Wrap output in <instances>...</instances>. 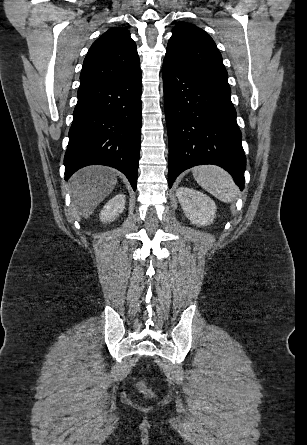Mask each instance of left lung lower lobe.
I'll return each instance as SVG.
<instances>
[{
    "label": "left lung lower lobe",
    "mask_w": 307,
    "mask_h": 445,
    "mask_svg": "<svg viewBox=\"0 0 307 445\" xmlns=\"http://www.w3.org/2000/svg\"><path fill=\"white\" fill-rule=\"evenodd\" d=\"M163 83L169 187L184 170L215 164L227 170L243 190L246 158L230 93L198 81L166 59Z\"/></svg>",
    "instance_id": "left-lung-lower-lobe-1"
}]
</instances>
